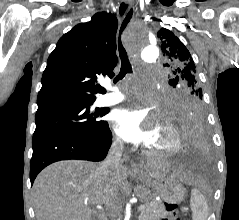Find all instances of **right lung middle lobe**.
<instances>
[{"mask_svg":"<svg viewBox=\"0 0 239 220\" xmlns=\"http://www.w3.org/2000/svg\"><path fill=\"white\" fill-rule=\"evenodd\" d=\"M60 105L38 109L34 134L43 132H69L83 135H97L108 125L98 120L106 114L104 110L90 111V105Z\"/></svg>","mask_w":239,"mask_h":220,"instance_id":"obj_1","label":"right lung middle lobe"}]
</instances>
